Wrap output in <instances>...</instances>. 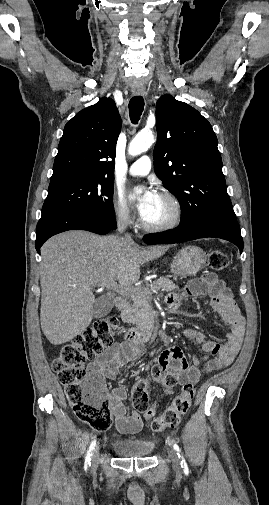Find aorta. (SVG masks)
I'll use <instances>...</instances> for the list:
<instances>
[{
  "label": "aorta",
  "instance_id": "762f6f07",
  "mask_svg": "<svg viewBox=\"0 0 269 505\" xmlns=\"http://www.w3.org/2000/svg\"><path fill=\"white\" fill-rule=\"evenodd\" d=\"M154 143V134L151 131H141L139 132L129 144L128 153L132 156H136L145 152ZM142 191L136 190V193L140 194Z\"/></svg>",
  "mask_w": 269,
  "mask_h": 505
}]
</instances>
